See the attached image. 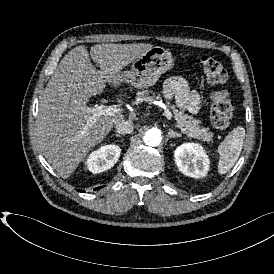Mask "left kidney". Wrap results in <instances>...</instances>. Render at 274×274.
<instances>
[{
  "label": "left kidney",
  "mask_w": 274,
  "mask_h": 274,
  "mask_svg": "<svg viewBox=\"0 0 274 274\" xmlns=\"http://www.w3.org/2000/svg\"><path fill=\"white\" fill-rule=\"evenodd\" d=\"M175 163L184 175L202 178L207 175L210 160L198 143H184L174 151Z\"/></svg>",
  "instance_id": "left-kidney-1"
}]
</instances>
